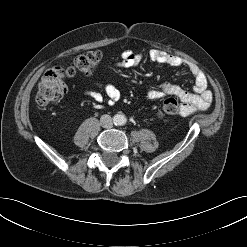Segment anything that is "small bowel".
<instances>
[{"label":"small bowel","mask_w":247,"mask_h":247,"mask_svg":"<svg viewBox=\"0 0 247 247\" xmlns=\"http://www.w3.org/2000/svg\"><path fill=\"white\" fill-rule=\"evenodd\" d=\"M150 60L158 65L171 67H185L194 79L193 92H187L179 86L165 82L149 91L148 95L152 99H160L166 95L177 97L181 101L180 114L189 116L199 110L207 109L212 102V93L208 89L206 74L196 65L187 62L183 58L159 49H151L148 53ZM143 60V55L133 51H125L119 66L129 68L138 66ZM104 94L111 100L120 98V91L112 84H106L103 89ZM86 95L94 101L101 102L103 94L98 91H88Z\"/></svg>","instance_id":"c3829d8e"}]
</instances>
